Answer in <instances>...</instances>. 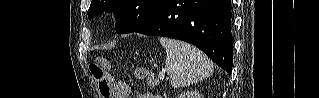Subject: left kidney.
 Segmentation results:
<instances>
[{
	"label": "left kidney",
	"instance_id": "left-kidney-1",
	"mask_svg": "<svg viewBox=\"0 0 319 98\" xmlns=\"http://www.w3.org/2000/svg\"><path fill=\"white\" fill-rule=\"evenodd\" d=\"M178 98H203V95L196 91H188L181 93Z\"/></svg>",
	"mask_w": 319,
	"mask_h": 98
}]
</instances>
